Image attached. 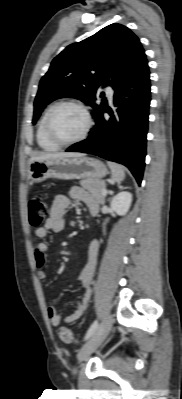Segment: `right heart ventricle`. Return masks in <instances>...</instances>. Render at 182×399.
<instances>
[{
    "label": "right heart ventricle",
    "mask_w": 182,
    "mask_h": 399,
    "mask_svg": "<svg viewBox=\"0 0 182 399\" xmlns=\"http://www.w3.org/2000/svg\"><path fill=\"white\" fill-rule=\"evenodd\" d=\"M52 106H49L45 112L43 113L42 117L40 118V121L38 123L37 127V132H36V139L37 143L45 151H54L59 148V146L55 143H53L46 134V129H45V123H46V117L47 114Z\"/></svg>",
    "instance_id": "1"
}]
</instances>
